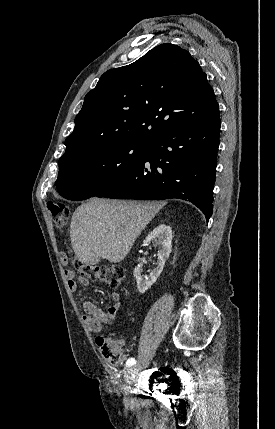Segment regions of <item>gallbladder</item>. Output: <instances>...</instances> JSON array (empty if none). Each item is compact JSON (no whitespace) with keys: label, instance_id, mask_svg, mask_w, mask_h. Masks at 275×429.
Segmentation results:
<instances>
[{"label":"gallbladder","instance_id":"obj_1","mask_svg":"<svg viewBox=\"0 0 275 429\" xmlns=\"http://www.w3.org/2000/svg\"><path fill=\"white\" fill-rule=\"evenodd\" d=\"M99 262H100V258H99V257H97V258L92 259V260L90 261V264H91V265H96V264H98Z\"/></svg>","mask_w":275,"mask_h":429}]
</instances>
